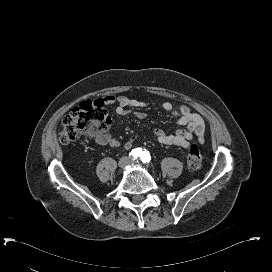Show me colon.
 I'll use <instances>...</instances> for the list:
<instances>
[{
	"instance_id": "1",
	"label": "colon",
	"mask_w": 272,
	"mask_h": 272,
	"mask_svg": "<svg viewBox=\"0 0 272 272\" xmlns=\"http://www.w3.org/2000/svg\"><path fill=\"white\" fill-rule=\"evenodd\" d=\"M110 124L111 117L105 100L83 102L62 118L59 142L67 144L87 134L95 137L107 130ZM186 163L190 171L201 168L202 155L198 146H190Z\"/></svg>"
}]
</instances>
